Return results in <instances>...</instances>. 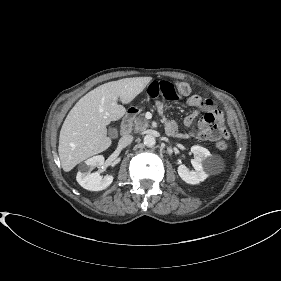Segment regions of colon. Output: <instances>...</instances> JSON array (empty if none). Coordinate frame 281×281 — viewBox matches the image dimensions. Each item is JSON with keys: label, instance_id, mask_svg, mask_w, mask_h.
<instances>
[{"label": "colon", "instance_id": "1", "mask_svg": "<svg viewBox=\"0 0 281 281\" xmlns=\"http://www.w3.org/2000/svg\"><path fill=\"white\" fill-rule=\"evenodd\" d=\"M189 93L190 86L186 82L170 83L167 81H156L151 83L148 88V94L151 98L162 97L169 101H176L181 96H186ZM205 117L211 130H220L226 139L229 137L228 133L220 127L222 123V115L220 112L209 113ZM216 146L224 150L227 148L228 144L226 140H219Z\"/></svg>", "mask_w": 281, "mask_h": 281}]
</instances>
